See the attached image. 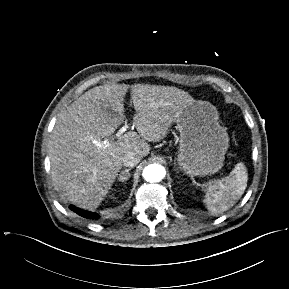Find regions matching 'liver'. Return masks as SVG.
<instances>
[{
    "label": "liver",
    "instance_id": "6515ba94",
    "mask_svg": "<svg viewBox=\"0 0 289 289\" xmlns=\"http://www.w3.org/2000/svg\"><path fill=\"white\" fill-rule=\"evenodd\" d=\"M131 88L134 125L117 140L113 134L125 119L124 97ZM195 100L170 86L105 84L94 87L58 115L50 136L51 178L61 198L76 206L97 208L113 185L128 152L149 154L147 142H158L187 104ZM105 140L98 147L93 141Z\"/></svg>",
    "mask_w": 289,
    "mask_h": 289
}]
</instances>
